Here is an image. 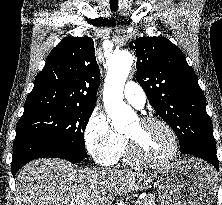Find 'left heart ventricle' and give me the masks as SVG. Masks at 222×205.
I'll list each match as a JSON object with an SVG mask.
<instances>
[{
  "label": "left heart ventricle",
  "instance_id": "obj_1",
  "mask_svg": "<svg viewBox=\"0 0 222 205\" xmlns=\"http://www.w3.org/2000/svg\"><path fill=\"white\" fill-rule=\"evenodd\" d=\"M125 134L135 141L140 154L147 159L160 160L172 150L170 135L158 124H142L135 120Z\"/></svg>",
  "mask_w": 222,
  "mask_h": 205
}]
</instances>
